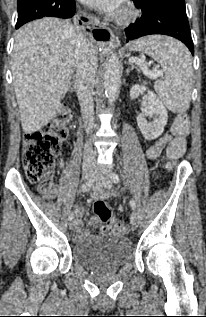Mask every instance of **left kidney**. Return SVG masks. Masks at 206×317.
Segmentation results:
<instances>
[{
    "label": "left kidney",
    "mask_w": 206,
    "mask_h": 317,
    "mask_svg": "<svg viewBox=\"0 0 206 317\" xmlns=\"http://www.w3.org/2000/svg\"><path fill=\"white\" fill-rule=\"evenodd\" d=\"M146 90L147 88L144 85L135 84L130 89V96L137 98ZM147 99V112L137 116V124L146 139L154 140L163 133L168 121V112L164 104L152 91H147ZM147 117H152L153 121L148 122Z\"/></svg>",
    "instance_id": "5707ae66"
}]
</instances>
